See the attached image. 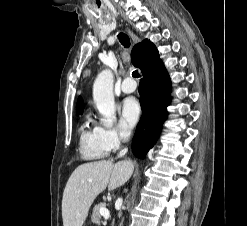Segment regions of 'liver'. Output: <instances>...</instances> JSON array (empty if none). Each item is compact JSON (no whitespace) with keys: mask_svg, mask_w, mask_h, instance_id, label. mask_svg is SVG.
I'll return each instance as SVG.
<instances>
[{"mask_svg":"<svg viewBox=\"0 0 247 226\" xmlns=\"http://www.w3.org/2000/svg\"><path fill=\"white\" fill-rule=\"evenodd\" d=\"M133 170L134 165L130 161L113 164L112 160H101L78 166L63 192V226H82L95 198L106 187L111 191L124 185Z\"/></svg>","mask_w":247,"mask_h":226,"instance_id":"obj_1","label":"liver"}]
</instances>
